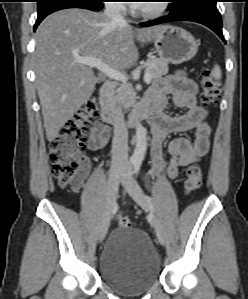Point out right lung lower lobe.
<instances>
[{"instance_id":"98d812e1","label":"right lung lower lobe","mask_w":248,"mask_h":299,"mask_svg":"<svg viewBox=\"0 0 248 299\" xmlns=\"http://www.w3.org/2000/svg\"><path fill=\"white\" fill-rule=\"evenodd\" d=\"M103 7L102 1L92 0H48L38 5V18L34 30L40 22L49 14L67 8H84L92 11H99Z\"/></svg>"}]
</instances>
